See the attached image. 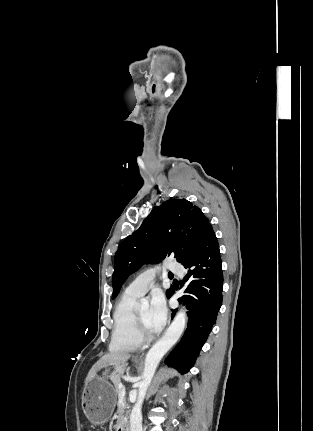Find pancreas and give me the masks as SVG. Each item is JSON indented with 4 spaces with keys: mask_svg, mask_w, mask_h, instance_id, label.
Instances as JSON below:
<instances>
[{
    "mask_svg": "<svg viewBox=\"0 0 313 431\" xmlns=\"http://www.w3.org/2000/svg\"><path fill=\"white\" fill-rule=\"evenodd\" d=\"M121 377H122V374L121 373H116V374H113V375H111V377H110V379H111V381H112V383L114 384V388H115V391H116V394H119V391H120V389H119V387H118V385L121 383ZM124 403H125V400H124ZM125 408L126 407H123V406H121L119 409H118V414H119V416H118V419H117V426H119V425H121L123 422H124V420L126 419V411H125Z\"/></svg>",
    "mask_w": 313,
    "mask_h": 431,
    "instance_id": "pancreas-1",
    "label": "pancreas"
}]
</instances>
